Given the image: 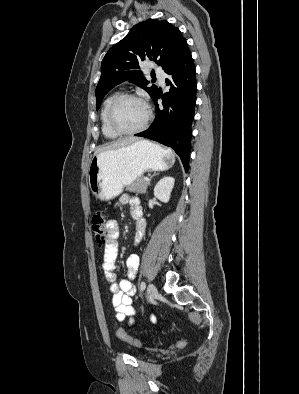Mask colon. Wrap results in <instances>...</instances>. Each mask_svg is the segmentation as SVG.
Returning a JSON list of instances; mask_svg holds the SVG:
<instances>
[{
	"label": "colon",
	"mask_w": 299,
	"mask_h": 394,
	"mask_svg": "<svg viewBox=\"0 0 299 394\" xmlns=\"http://www.w3.org/2000/svg\"><path fill=\"white\" fill-rule=\"evenodd\" d=\"M107 217L106 214L102 211H97L93 214L91 220V228L94 239L99 245H103L107 242L108 233H107ZM117 336L119 339L123 341L131 342V338L126 334V332L122 328H118L116 330ZM187 342L182 341L177 344L178 347L186 346Z\"/></svg>",
	"instance_id": "obj_1"
}]
</instances>
